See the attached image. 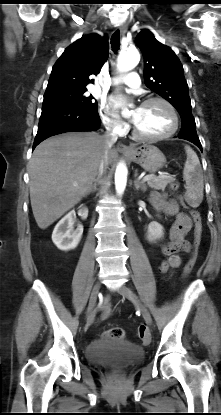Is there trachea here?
Here are the masks:
<instances>
[{
    "label": "trachea",
    "mask_w": 221,
    "mask_h": 415,
    "mask_svg": "<svg viewBox=\"0 0 221 415\" xmlns=\"http://www.w3.org/2000/svg\"><path fill=\"white\" fill-rule=\"evenodd\" d=\"M111 46L113 51H117L120 46V33L117 30L111 37Z\"/></svg>",
    "instance_id": "3493384b"
}]
</instances>
